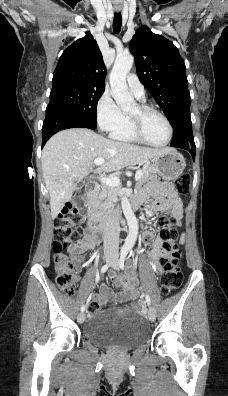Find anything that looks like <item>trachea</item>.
I'll list each match as a JSON object with an SVG mask.
<instances>
[{"label": "trachea", "instance_id": "1", "mask_svg": "<svg viewBox=\"0 0 228 396\" xmlns=\"http://www.w3.org/2000/svg\"><path fill=\"white\" fill-rule=\"evenodd\" d=\"M121 24H122V17L121 13H115L114 14V20H113V31L118 34L121 30Z\"/></svg>", "mask_w": 228, "mask_h": 396}]
</instances>
